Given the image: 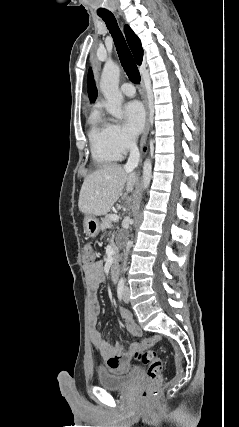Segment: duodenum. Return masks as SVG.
Listing matches in <instances>:
<instances>
[{
    "label": "duodenum",
    "mask_w": 239,
    "mask_h": 427,
    "mask_svg": "<svg viewBox=\"0 0 239 427\" xmlns=\"http://www.w3.org/2000/svg\"><path fill=\"white\" fill-rule=\"evenodd\" d=\"M120 266L118 260L115 258L111 265V276L114 281L119 278Z\"/></svg>",
    "instance_id": "1"
}]
</instances>
